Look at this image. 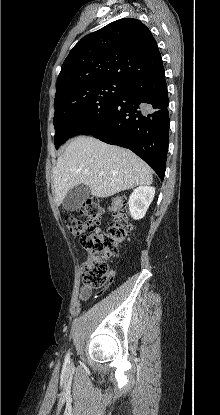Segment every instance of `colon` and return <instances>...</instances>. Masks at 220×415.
I'll use <instances>...</instances> for the list:
<instances>
[{"label": "colon", "instance_id": "colon-1", "mask_svg": "<svg viewBox=\"0 0 220 415\" xmlns=\"http://www.w3.org/2000/svg\"><path fill=\"white\" fill-rule=\"evenodd\" d=\"M109 210L114 221L106 230L98 228L104 209L96 198L83 202L80 216L66 215L64 218L67 230L81 236V245L88 253L87 261L82 266V281L93 288L106 286L111 276L107 260L117 255L133 230L127 219V202L123 197L112 198Z\"/></svg>", "mask_w": 220, "mask_h": 415}]
</instances>
